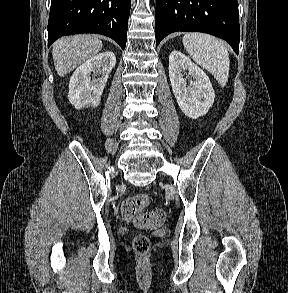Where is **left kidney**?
<instances>
[{"instance_id": "left-kidney-1", "label": "left kidney", "mask_w": 288, "mask_h": 293, "mask_svg": "<svg viewBox=\"0 0 288 293\" xmlns=\"http://www.w3.org/2000/svg\"><path fill=\"white\" fill-rule=\"evenodd\" d=\"M187 71L188 85L182 74ZM169 78L177 103L186 116L196 119L209 111L215 98L210 79L180 51H173L169 56Z\"/></svg>"}]
</instances>
